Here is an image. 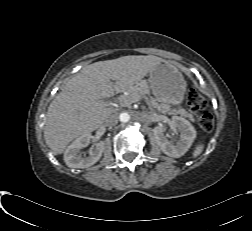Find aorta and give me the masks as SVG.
<instances>
[{"label":"aorta","instance_id":"aorta-1","mask_svg":"<svg viewBox=\"0 0 252 231\" xmlns=\"http://www.w3.org/2000/svg\"><path fill=\"white\" fill-rule=\"evenodd\" d=\"M119 118L121 122L126 123L130 120V115L127 112H122Z\"/></svg>","mask_w":252,"mask_h":231}]
</instances>
